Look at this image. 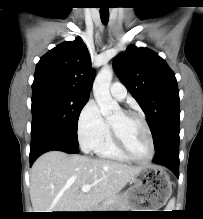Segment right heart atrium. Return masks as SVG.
Returning a JSON list of instances; mask_svg holds the SVG:
<instances>
[{
    "mask_svg": "<svg viewBox=\"0 0 203 219\" xmlns=\"http://www.w3.org/2000/svg\"><path fill=\"white\" fill-rule=\"evenodd\" d=\"M107 130L98 105L90 100L82 108L77 120V135L81 148L85 152L95 151Z\"/></svg>",
    "mask_w": 203,
    "mask_h": 219,
    "instance_id": "right-heart-atrium-1",
    "label": "right heart atrium"
}]
</instances>
